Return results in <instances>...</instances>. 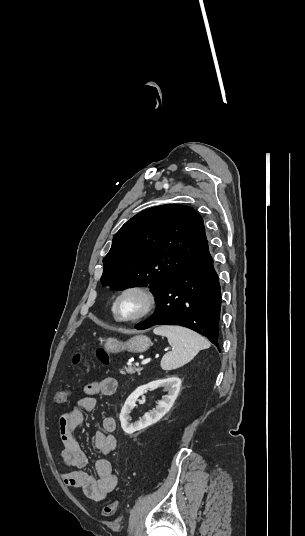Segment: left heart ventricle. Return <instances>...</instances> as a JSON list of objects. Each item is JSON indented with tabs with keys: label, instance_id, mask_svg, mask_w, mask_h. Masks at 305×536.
Listing matches in <instances>:
<instances>
[{
	"label": "left heart ventricle",
	"instance_id": "left-heart-ventricle-1",
	"mask_svg": "<svg viewBox=\"0 0 305 536\" xmlns=\"http://www.w3.org/2000/svg\"><path fill=\"white\" fill-rule=\"evenodd\" d=\"M146 308V298L139 291L125 293L118 302V312L123 318H132L141 314Z\"/></svg>",
	"mask_w": 305,
	"mask_h": 536
}]
</instances>
